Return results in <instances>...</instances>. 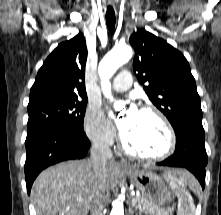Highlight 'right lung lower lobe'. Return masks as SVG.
Listing matches in <instances>:
<instances>
[{
    "mask_svg": "<svg viewBox=\"0 0 221 215\" xmlns=\"http://www.w3.org/2000/svg\"><path fill=\"white\" fill-rule=\"evenodd\" d=\"M25 145V180L30 194L35 178L43 169L61 161L85 157L90 141L84 130L56 127L27 135Z\"/></svg>",
    "mask_w": 221,
    "mask_h": 215,
    "instance_id": "right-lung-lower-lobe-1",
    "label": "right lung lower lobe"
}]
</instances>
